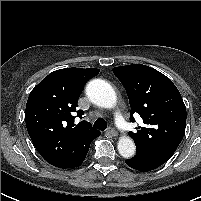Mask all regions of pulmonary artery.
<instances>
[{
    "label": "pulmonary artery",
    "mask_w": 201,
    "mask_h": 201,
    "mask_svg": "<svg viewBox=\"0 0 201 201\" xmlns=\"http://www.w3.org/2000/svg\"><path fill=\"white\" fill-rule=\"evenodd\" d=\"M115 121L117 127L122 131L126 130V128L128 127V123L123 119L120 114L115 115Z\"/></svg>",
    "instance_id": "e3ab8cb5"
}]
</instances>
